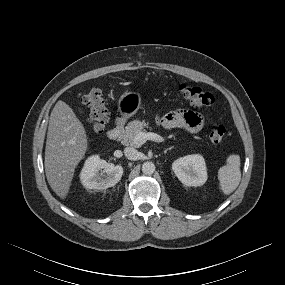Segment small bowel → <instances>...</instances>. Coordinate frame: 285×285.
<instances>
[{"instance_id": "1", "label": "small bowel", "mask_w": 285, "mask_h": 285, "mask_svg": "<svg viewBox=\"0 0 285 285\" xmlns=\"http://www.w3.org/2000/svg\"><path fill=\"white\" fill-rule=\"evenodd\" d=\"M160 122L166 128H182L188 132L197 133L204 125V118L198 112L177 110L164 115Z\"/></svg>"}]
</instances>
